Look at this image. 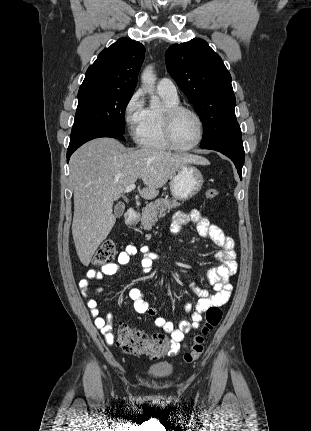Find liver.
Wrapping results in <instances>:
<instances>
[{
  "label": "liver",
  "mask_w": 311,
  "mask_h": 431,
  "mask_svg": "<svg viewBox=\"0 0 311 431\" xmlns=\"http://www.w3.org/2000/svg\"><path fill=\"white\" fill-rule=\"evenodd\" d=\"M209 166V160L194 154H171L158 148L130 152L113 138L91 140L70 158V180L74 190L72 235L77 255L89 265L100 243L110 233L116 217L113 204L138 178L144 200H154L159 188L182 166Z\"/></svg>",
  "instance_id": "liver-1"
}]
</instances>
